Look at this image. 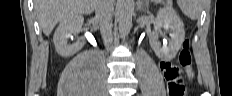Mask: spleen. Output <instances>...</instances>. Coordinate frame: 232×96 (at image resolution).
<instances>
[{
  "label": "spleen",
  "mask_w": 232,
  "mask_h": 96,
  "mask_svg": "<svg viewBox=\"0 0 232 96\" xmlns=\"http://www.w3.org/2000/svg\"><path fill=\"white\" fill-rule=\"evenodd\" d=\"M177 4L184 15L191 20H197L200 18L202 12L201 0H177Z\"/></svg>",
  "instance_id": "obj_1"
}]
</instances>
